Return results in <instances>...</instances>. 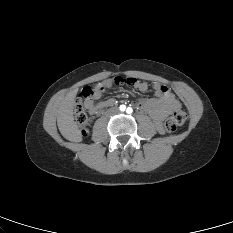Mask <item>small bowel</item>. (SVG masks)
Here are the masks:
<instances>
[{"label":"small bowel","instance_id":"obj_1","mask_svg":"<svg viewBox=\"0 0 233 233\" xmlns=\"http://www.w3.org/2000/svg\"><path fill=\"white\" fill-rule=\"evenodd\" d=\"M108 81L96 86L100 87L101 85L107 83ZM134 87L141 92H145L149 89L154 91V98H142L137 99L133 102V105L139 111L148 114L155 123L156 129L159 132L163 131L162 122L172 111L180 108L179 101L176 100L172 91L167 85L161 83H153L151 85L146 82L137 81L134 84ZM115 104L113 98H108L101 101H94L89 109L90 114H95L99 110L105 108L107 105Z\"/></svg>","mask_w":233,"mask_h":233}]
</instances>
